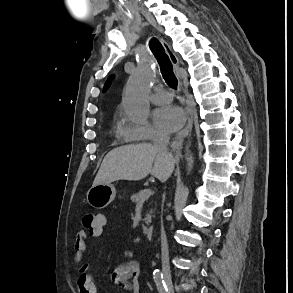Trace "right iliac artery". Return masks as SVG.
Listing matches in <instances>:
<instances>
[{"mask_svg":"<svg viewBox=\"0 0 293 293\" xmlns=\"http://www.w3.org/2000/svg\"><path fill=\"white\" fill-rule=\"evenodd\" d=\"M153 279L156 283L159 293H168V288L163 280V274L160 272V270H154Z\"/></svg>","mask_w":293,"mask_h":293,"instance_id":"right-iliac-artery-1","label":"right iliac artery"}]
</instances>
